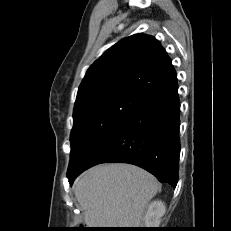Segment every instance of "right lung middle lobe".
Here are the masks:
<instances>
[{"instance_id": "right-lung-middle-lobe-1", "label": "right lung middle lobe", "mask_w": 231, "mask_h": 231, "mask_svg": "<svg viewBox=\"0 0 231 231\" xmlns=\"http://www.w3.org/2000/svg\"><path fill=\"white\" fill-rule=\"evenodd\" d=\"M142 102L138 96L121 93L101 97L75 110L68 169L78 167L100 142L140 108Z\"/></svg>"}]
</instances>
